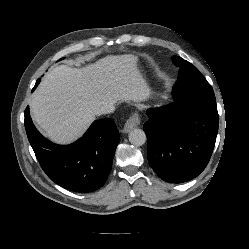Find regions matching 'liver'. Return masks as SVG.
<instances>
[{"label": "liver", "mask_w": 249, "mask_h": 249, "mask_svg": "<svg viewBox=\"0 0 249 249\" xmlns=\"http://www.w3.org/2000/svg\"><path fill=\"white\" fill-rule=\"evenodd\" d=\"M147 83L134 55L107 56L83 68L52 69L31 96L34 122L52 141L67 144L80 137L104 104L139 101Z\"/></svg>", "instance_id": "obj_1"}]
</instances>
